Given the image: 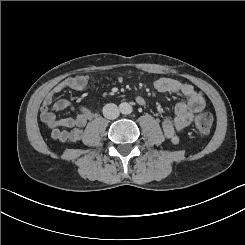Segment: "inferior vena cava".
<instances>
[{
    "label": "inferior vena cava",
    "mask_w": 245,
    "mask_h": 245,
    "mask_svg": "<svg viewBox=\"0 0 245 245\" xmlns=\"http://www.w3.org/2000/svg\"><path fill=\"white\" fill-rule=\"evenodd\" d=\"M103 115L105 118L113 120L119 116V109L116 104L108 103L103 107Z\"/></svg>",
    "instance_id": "inferior-vena-cava-1"
}]
</instances>
